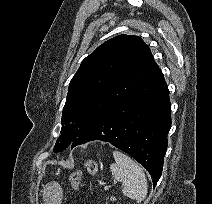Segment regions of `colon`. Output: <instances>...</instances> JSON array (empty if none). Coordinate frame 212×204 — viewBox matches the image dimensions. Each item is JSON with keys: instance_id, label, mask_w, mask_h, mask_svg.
I'll list each match as a JSON object with an SVG mask.
<instances>
[{"instance_id": "obj_1", "label": "colon", "mask_w": 212, "mask_h": 204, "mask_svg": "<svg viewBox=\"0 0 212 204\" xmlns=\"http://www.w3.org/2000/svg\"><path fill=\"white\" fill-rule=\"evenodd\" d=\"M86 171L90 175H95L98 171L97 163L94 160H87L81 169L74 171L70 175V184L73 189L78 190L81 185L83 172Z\"/></svg>"}]
</instances>
